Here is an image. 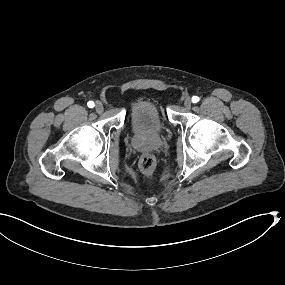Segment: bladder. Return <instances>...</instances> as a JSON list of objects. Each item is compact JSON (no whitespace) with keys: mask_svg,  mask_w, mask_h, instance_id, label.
Returning <instances> with one entry per match:
<instances>
[{"mask_svg":"<svg viewBox=\"0 0 285 285\" xmlns=\"http://www.w3.org/2000/svg\"><path fill=\"white\" fill-rule=\"evenodd\" d=\"M156 100H139L129 106L132 112L133 130L129 135L133 139H154L163 133L158 127L159 116L154 110Z\"/></svg>","mask_w":285,"mask_h":285,"instance_id":"31cf9c89","label":"bladder"}]
</instances>
